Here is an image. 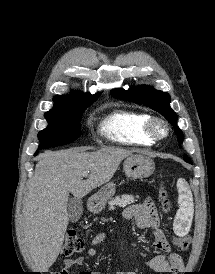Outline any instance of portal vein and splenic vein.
<instances>
[{
	"mask_svg": "<svg viewBox=\"0 0 215 274\" xmlns=\"http://www.w3.org/2000/svg\"><path fill=\"white\" fill-rule=\"evenodd\" d=\"M88 173H89V171L83 172V177H87V176H88Z\"/></svg>",
	"mask_w": 215,
	"mask_h": 274,
	"instance_id": "portal-vein-and-splenic-vein-1",
	"label": "portal vein and splenic vein"
}]
</instances>
